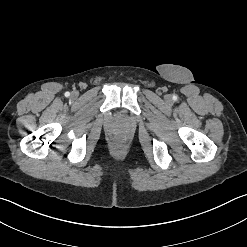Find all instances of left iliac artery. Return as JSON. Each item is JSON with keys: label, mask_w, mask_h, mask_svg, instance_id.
<instances>
[{"label": "left iliac artery", "mask_w": 247, "mask_h": 247, "mask_svg": "<svg viewBox=\"0 0 247 247\" xmlns=\"http://www.w3.org/2000/svg\"><path fill=\"white\" fill-rule=\"evenodd\" d=\"M173 99H174V100H176V99H177V97H176V96H173Z\"/></svg>", "instance_id": "left-iliac-artery-1"}]
</instances>
